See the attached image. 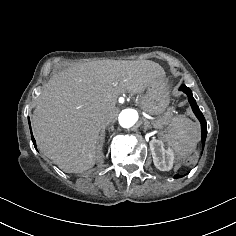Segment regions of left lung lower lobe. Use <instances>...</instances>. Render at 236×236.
Segmentation results:
<instances>
[{
    "label": "left lung lower lobe",
    "mask_w": 236,
    "mask_h": 236,
    "mask_svg": "<svg viewBox=\"0 0 236 236\" xmlns=\"http://www.w3.org/2000/svg\"><path fill=\"white\" fill-rule=\"evenodd\" d=\"M179 90H181V91H183L184 93L187 94L188 100H189V102L191 104V107H192V110H193L196 117L199 119V121L201 123V138H202V143H203V147H204V143H205L206 136H207V123H206V120H205L202 112L200 111L199 107L197 106L195 99L193 98L192 91L187 86H185L184 84L180 86ZM174 177L175 178H180V177H183V176L175 175Z\"/></svg>",
    "instance_id": "left-lung-lower-lobe-1"
}]
</instances>
